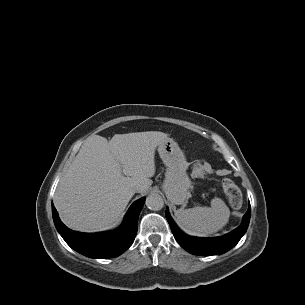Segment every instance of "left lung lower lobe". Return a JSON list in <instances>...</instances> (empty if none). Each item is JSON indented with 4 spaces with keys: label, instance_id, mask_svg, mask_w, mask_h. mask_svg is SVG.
<instances>
[{
    "label": "left lung lower lobe",
    "instance_id": "left-lung-lower-lobe-1",
    "mask_svg": "<svg viewBox=\"0 0 305 305\" xmlns=\"http://www.w3.org/2000/svg\"><path fill=\"white\" fill-rule=\"evenodd\" d=\"M166 218L174 238L185 250L195 255L211 256L223 254L239 242L249 225L250 207L244 215L243 222L239 227L222 237L216 238L190 237L179 230V228L170 217L168 210H166Z\"/></svg>",
    "mask_w": 305,
    "mask_h": 305
}]
</instances>
